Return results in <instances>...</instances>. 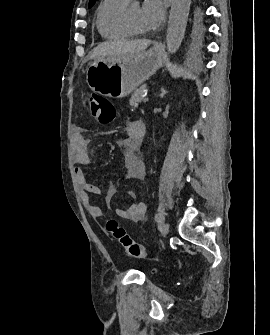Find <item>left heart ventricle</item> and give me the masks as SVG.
I'll use <instances>...</instances> for the list:
<instances>
[{"label":"left heart ventricle","mask_w":270,"mask_h":335,"mask_svg":"<svg viewBox=\"0 0 270 335\" xmlns=\"http://www.w3.org/2000/svg\"><path fill=\"white\" fill-rule=\"evenodd\" d=\"M130 25L133 27L134 30L140 31L141 24H140V17H141V9L140 7H134L130 9L127 13H125Z\"/></svg>","instance_id":"obj_1"}]
</instances>
